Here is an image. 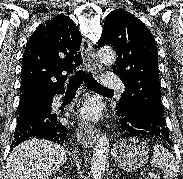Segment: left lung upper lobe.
Listing matches in <instances>:
<instances>
[{
    "label": "left lung upper lobe",
    "mask_w": 183,
    "mask_h": 179,
    "mask_svg": "<svg viewBox=\"0 0 183 179\" xmlns=\"http://www.w3.org/2000/svg\"><path fill=\"white\" fill-rule=\"evenodd\" d=\"M98 45L114 48L117 74L126 87L117 110L134 109L157 125L166 122L161 104L158 54L149 29L134 15L122 9L110 12Z\"/></svg>",
    "instance_id": "obj_1"
}]
</instances>
